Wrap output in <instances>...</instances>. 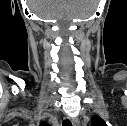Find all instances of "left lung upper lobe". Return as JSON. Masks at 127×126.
<instances>
[{
	"instance_id": "left-lung-upper-lobe-1",
	"label": "left lung upper lobe",
	"mask_w": 127,
	"mask_h": 126,
	"mask_svg": "<svg viewBox=\"0 0 127 126\" xmlns=\"http://www.w3.org/2000/svg\"><path fill=\"white\" fill-rule=\"evenodd\" d=\"M91 126H107L106 122L99 116H93Z\"/></svg>"
}]
</instances>
